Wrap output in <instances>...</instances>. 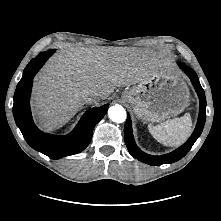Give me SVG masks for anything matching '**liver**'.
Listing matches in <instances>:
<instances>
[{"label": "liver", "instance_id": "obj_1", "mask_svg": "<svg viewBox=\"0 0 221 221\" xmlns=\"http://www.w3.org/2000/svg\"><path fill=\"white\" fill-rule=\"evenodd\" d=\"M168 63L157 54L128 47H78L53 56L39 73L33 110L42 127L66 124L85 104L83 93L96 90L105 100L116 87L144 81Z\"/></svg>", "mask_w": 221, "mask_h": 221}]
</instances>
